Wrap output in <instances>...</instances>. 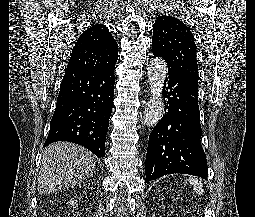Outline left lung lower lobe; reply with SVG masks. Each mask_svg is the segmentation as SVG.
Listing matches in <instances>:
<instances>
[{
    "mask_svg": "<svg viewBox=\"0 0 255 217\" xmlns=\"http://www.w3.org/2000/svg\"><path fill=\"white\" fill-rule=\"evenodd\" d=\"M153 55L159 56L155 52ZM163 96L165 113L149 135L145 183L174 173L207 179V161L200 140L198 79L168 67Z\"/></svg>",
    "mask_w": 255,
    "mask_h": 217,
    "instance_id": "left-lung-lower-lobe-1",
    "label": "left lung lower lobe"
}]
</instances>
